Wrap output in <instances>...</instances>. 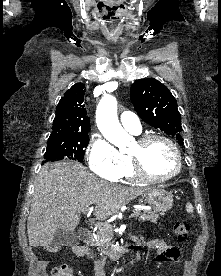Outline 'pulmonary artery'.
I'll list each match as a JSON object with an SVG mask.
<instances>
[{"label":"pulmonary artery","mask_w":221,"mask_h":276,"mask_svg":"<svg viewBox=\"0 0 221 276\" xmlns=\"http://www.w3.org/2000/svg\"><path fill=\"white\" fill-rule=\"evenodd\" d=\"M122 126L133 134H139L142 130L139 118L132 112L125 111L120 116Z\"/></svg>","instance_id":"1"}]
</instances>
